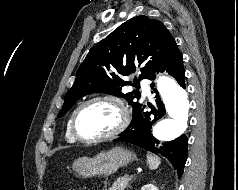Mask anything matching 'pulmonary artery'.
I'll return each instance as SVG.
<instances>
[{
	"mask_svg": "<svg viewBox=\"0 0 238 190\" xmlns=\"http://www.w3.org/2000/svg\"><path fill=\"white\" fill-rule=\"evenodd\" d=\"M141 89L144 96L150 95V89L148 84L145 81H141Z\"/></svg>",
	"mask_w": 238,
	"mask_h": 190,
	"instance_id": "pulmonary-artery-1",
	"label": "pulmonary artery"
}]
</instances>
